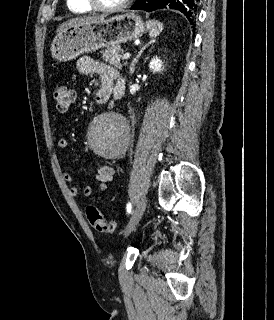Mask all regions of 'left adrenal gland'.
Instances as JSON below:
<instances>
[{
    "label": "left adrenal gland",
    "mask_w": 274,
    "mask_h": 320,
    "mask_svg": "<svg viewBox=\"0 0 274 320\" xmlns=\"http://www.w3.org/2000/svg\"><path fill=\"white\" fill-rule=\"evenodd\" d=\"M150 44H154L153 40H151V42H148V44H146V46H143V48H141L140 52H138L136 58H134V60H132V64L129 68L130 74H134L135 66H136L141 54H143L144 50H146V48H148V46H150Z\"/></svg>",
    "instance_id": "obj_1"
}]
</instances>
